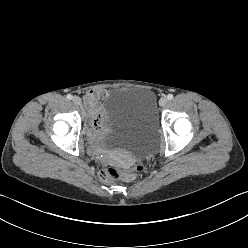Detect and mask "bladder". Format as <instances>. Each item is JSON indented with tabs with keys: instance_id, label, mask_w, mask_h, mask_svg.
<instances>
[{
	"instance_id": "obj_1",
	"label": "bladder",
	"mask_w": 248,
	"mask_h": 248,
	"mask_svg": "<svg viewBox=\"0 0 248 248\" xmlns=\"http://www.w3.org/2000/svg\"><path fill=\"white\" fill-rule=\"evenodd\" d=\"M107 119L102 145L107 150L126 151L141 157L156 145L158 124L154 94L143 88L125 89L104 104Z\"/></svg>"
}]
</instances>
